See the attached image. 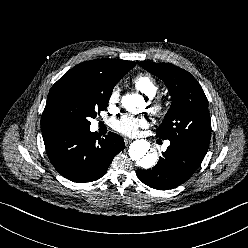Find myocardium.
<instances>
[{"label":"myocardium","instance_id":"obj_1","mask_svg":"<svg viewBox=\"0 0 248 248\" xmlns=\"http://www.w3.org/2000/svg\"><path fill=\"white\" fill-rule=\"evenodd\" d=\"M150 111L156 115L161 116L166 111V104L161 97L152 98L150 101Z\"/></svg>","mask_w":248,"mask_h":248}]
</instances>
